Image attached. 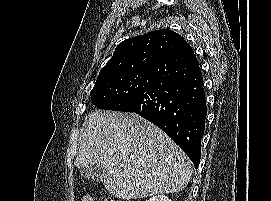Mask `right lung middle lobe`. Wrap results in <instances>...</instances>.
<instances>
[{"instance_id":"obj_1","label":"right lung middle lobe","mask_w":271,"mask_h":201,"mask_svg":"<svg viewBox=\"0 0 271 201\" xmlns=\"http://www.w3.org/2000/svg\"><path fill=\"white\" fill-rule=\"evenodd\" d=\"M151 70H133L97 78L90 92L92 103L99 109L118 111L122 103L145 92L151 84Z\"/></svg>"}]
</instances>
